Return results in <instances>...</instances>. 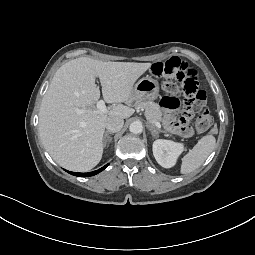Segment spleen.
I'll return each instance as SVG.
<instances>
[{"mask_svg":"<svg viewBox=\"0 0 255 255\" xmlns=\"http://www.w3.org/2000/svg\"><path fill=\"white\" fill-rule=\"evenodd\" d=\"M216 139L213 135L203 136L198 143L182 158V174H188L199 168L214 150Z\"/></svg>","mask_w":255,"mask_h":255,"instance_id":"spleen-1","label":"spleen"}]
</instances>
